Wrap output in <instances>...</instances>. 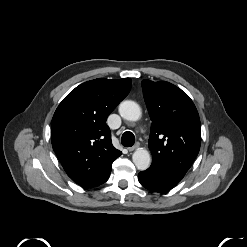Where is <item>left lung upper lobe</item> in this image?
I'll list each match as a JSON object with an SVG mask.
<instances>
[{"mask_svg":"<svg viewBox=\"0 0 247 247\" xmlns=\"http://www.w3.org/2000/svg\"><path fill=\"white\" fill-rule=\"evenodd\" d=\"M144 99L152 120L149 170L178 183L195 160L201 144L197 109L189 96L165 81H142Z\"/></svg>","mask_w":247,"mask_h":247,"instance_id":"obj_1","label":"left lung upper lobe"}]
</instances>
